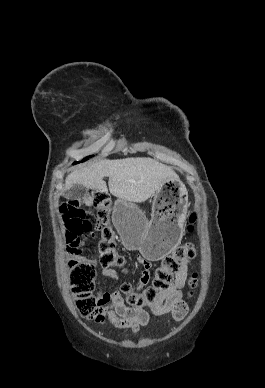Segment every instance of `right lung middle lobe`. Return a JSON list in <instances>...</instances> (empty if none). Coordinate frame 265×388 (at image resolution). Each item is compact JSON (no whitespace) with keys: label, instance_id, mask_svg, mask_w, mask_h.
Segmentation results:
<instances>
[{"label":"right lung middle lobe","instance_id":"dd1d6c3e","mask_svg":"<svg viewBox=\"0 0 265 388\" xmlns=\"http://www.w3.org/2000/svg\"><path fill=\"white\" fill-rule=\"evenodd\" d=\"M89 157H92V156H88L86 157L83 161L87 160ZM77 162H75L74 164H76Z\"/></svg>","mask_w":265,"mask_h":388}]
</instances>
